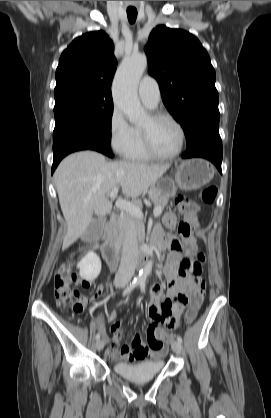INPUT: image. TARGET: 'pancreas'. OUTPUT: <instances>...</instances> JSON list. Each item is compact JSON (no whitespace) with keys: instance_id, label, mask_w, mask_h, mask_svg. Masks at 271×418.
I'll list each match as a JSON object with an SVG mask.
<instances>
[{"instance_id":"obj_1","label":"pancreas","mask_w":271,"mask_h":418,"mask_svg":"<svg viewBox=\"0 0 271 418\" xmlns=\"http://www.w3.org/2000/svg\"><path fill=\"white\" fill-rule=\"evenodd\" d=\"M149 199L154 203L155 207H160L161 210H163L168 203V197L160 189L157 188H153L149 191ZM127 220L132 223L139 238L143 239L145 234L144 223L129 215H123L118 221V225L115 230L118 238L123 239L125 237Z\"/></svg>"}]
</instances>
